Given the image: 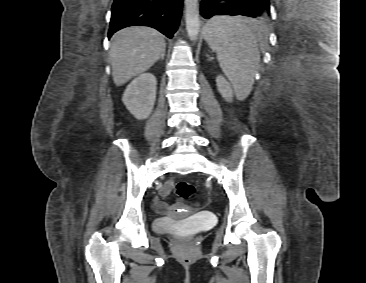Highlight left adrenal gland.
<instances>
[{
	"label": "left adrenal gland",
	"instance_id": "1",
	"mask_svg": "<svg viewBox=\"0 0 366 283\" xmlns=\"http://www.w3.org/2000/svg\"><path fill=\"white\" fill-rule=\"evenodd\" d=\"M207 57H208L209 61H212V59H213L212 57H210L209 55H207Z\"/></svg>",
	"mask_w": 366,
	"mask_h": 283
}]
</instances>
